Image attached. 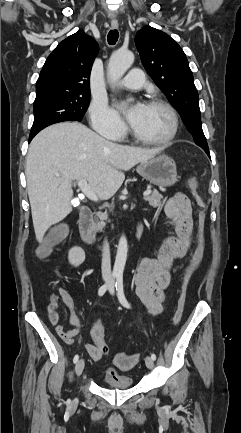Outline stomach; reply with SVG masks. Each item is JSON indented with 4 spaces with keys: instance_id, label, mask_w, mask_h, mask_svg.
I'll return each mask as SVG.
<instances>
[{
    "instance_id": "stomach-1",
    "label": "stomach",
    "mask_w": 241,
    "mask_h": 433,
    "mask_svg": "<svg viewBox=\"0 0 241 433\" xmlns=\"http://www.w3.org/2000/svg\"><path fill=\"white\" fill-rule=\"evenodd\" d=\"M136 170L144 179L156 186L168 187L177 182L176 162L165 154L141 162Z\"/></svg>"
}]
</instances>
